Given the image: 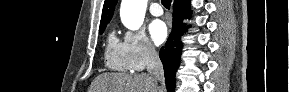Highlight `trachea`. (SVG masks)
Listing matches in <instances>:
<instances>
[{"label":"trachea","instance_id":"trachea-1","mask_svg":"<svg viewBox=\"0 0 289 92\" xmlns=\"http://www.w3.org/2000/svg\"><path fill=\"white\" fill-rule=\"evenodd\" d=\"M162 4L165 8L170 9L171 0H162Z\"/></svg>","mask_w":289,"mask_h":92}]
</instances>
